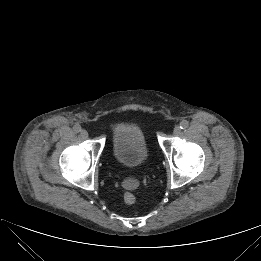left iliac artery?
<instances>
[{
    "instance_id": "44dca946",
    "label": "left iliac artery",
    "mask_w": 261,
    "mask_h": 261,
    "mask_svg": "<svg viewBox=\"0 0 261 261\" xmlns=\"http://www.w3.org/2000/svg\"><path fill=\"white\" fill-rule=\"evenodd\" d=\"M188 126H189V122L187 120H183V121L180 122V128L182 130L188 128Z\"/></svg>"
}]
</instances>
